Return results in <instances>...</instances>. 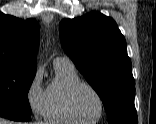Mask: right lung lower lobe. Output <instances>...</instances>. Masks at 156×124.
Here are the masks:
<instances>
[{"mask_svg":"<svg viewBox=\"0 0 156 124\" xmlns=\"http://www.w3.org/2000/svg\"><path fill=\"white\" fill-rule=\"evenodd\" d=\"M0 117L14 121H29L31 119L30 115L7 109H0Z\"/></svg>","mask_w":156,"mask_h":124,"instance_id":"1","label":"right lung lower lobe"}]
</instances>
